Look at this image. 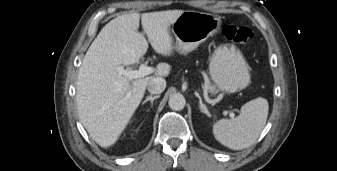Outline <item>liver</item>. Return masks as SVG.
Masks as SVG:
<instances>
[{
    "label": "liver",
    "instance_id": "6515ba94",
    "mask_svg": "<svg viewBox=\"0 0 337 171\" xmlns=\"http://www.w3.org/2000/svg\"><path fill=\"white\" fill-rule=\"evenodd\" d=\"M183 10L131 13L108 22L90 45L77 77L76 102L79 118L91 138L101 147L112 146L139 106L148 82L168 76L171 66L159 63L152 76L134 80L120 75L117 67L138 63L148 49L164 56L173 52L169 27ZM141 18L142 28L138 31Z\"/></svg>",
    "mask_w": 337,
    "mask_h": 171
}]
</instances>
